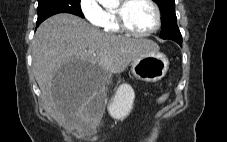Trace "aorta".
Here are the masks:
<instances>
[{"instance_id": "obj_1", "label": "aorta", "mask_w": 227, "mask_h": 142, "mask_svg": "<svg viewBox=\"0 0 227 142\" xmlns=\"http://www.w3.org/2000/svg\"><path fill=\"white\" fill-rule=\"evenodd\" d=\"M104 5L115 4L118 0H100Z\"/></svg>"}]
</instances>
